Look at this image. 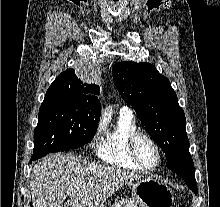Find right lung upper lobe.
Listing matches in <instances>:
<instances>
[{"label":"right lung upper lobe","instance_id":"cb5924a9","mask_svg":"<svg viewBox=\"0 0 220 207\" xmlns=\"http://www.w3.org/2000/svg\"><path fill=\"white\" fill-rule=\"evenodd\" d=\"M100 87L83 81L73 69L62 72L48 88L46 95H67L77 97L86 104L101 111Z\"/></svg>","mask_w":220,"mask_h":207}]
</instances>
